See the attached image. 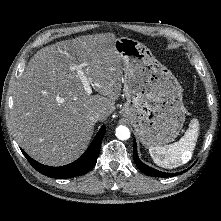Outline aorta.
Here are the masks:
<instances>
[{
	"mask_svg": "<svg viewBox=\"0 0 221 221\" xmlns=\"http://www.w3.org/2000/svg\"><path fill=\"white\" fill-rule=\"evenodd\" d=\"M116 137L120 140H127L130 138V131L126 126H118L116 128Z\"/></svg>",
	"mask_w": 221,
	"mask_h": 221,
	"instance_id": "762f6f07",
	"label": "aorta"
}]
</instances>
